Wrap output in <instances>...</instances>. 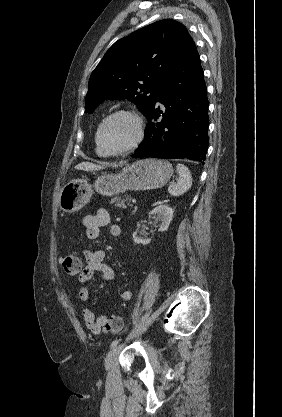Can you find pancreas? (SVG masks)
<instances>
[{
  "mask_svg": "<svg viewBox=\"0 0 282 417\" xmlns=\"http://www.w3.org/2000/svg\"><path fill=\"white\" fill-rule=\"evenodd\" d=\"M110 202H113L114 206H121V209H127V206H132L131 196H129V194H125L123 198H121V196H114V198H111Z\"/></svg>",
  "mask_w": 282,
  "mask_h": 417,
  "instance_id": "obj_1",
  "label": "pancreas"
}]
</instances>
